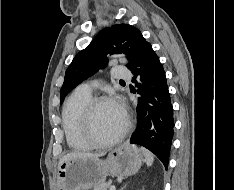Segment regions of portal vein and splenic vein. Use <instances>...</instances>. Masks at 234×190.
Returning a JSON list of instances; mask_svg holds the SVG:
<instances>
[{
	"mask_svg": "<svg viewBox=\"0 0 234 190\" xmlns=\"http://www.w3.org/2000/svg\"><path fill=\"white\" fill-rule=\"evenodd\" d=\"M109 190H116L115 186H111Z\"/></svg>",
	"mask_w": 234,
	"mask_h": 190,
	"instance_id": "obj_1",
	"label": "portal vein and splenic vein"
}]
</instances>
